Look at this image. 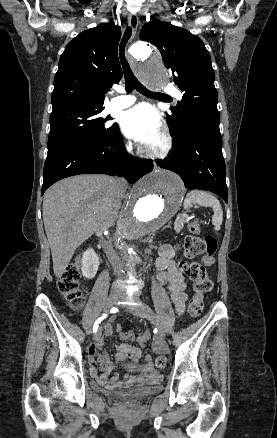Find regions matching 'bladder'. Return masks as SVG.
<instances>
[{
  "label": "bladder",
  "mask_w": 277,
  "mask_h": 438,
  "mask_svg": "<svg viewBox=\"0 0 277 438\" xmlns=\"http://www.w3.org/2000/svg\"><path fill=\"white\" fill-rule=\"evenodd\" d=\"M154 382H157V381H152V383H154ZM149 391H150V388H149V387H147V388H140V389H138V391L136 392V394H137L139 397H144V398H146V397L148 396V394H149ZM128 398H129V394H128V393H120V394L117 396V400H120V401L127 400Z\"/></svg>",
  "instance_id": "31cf9c89"
}]
</instances>
